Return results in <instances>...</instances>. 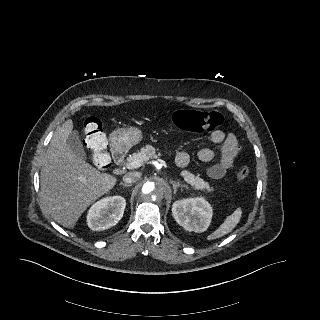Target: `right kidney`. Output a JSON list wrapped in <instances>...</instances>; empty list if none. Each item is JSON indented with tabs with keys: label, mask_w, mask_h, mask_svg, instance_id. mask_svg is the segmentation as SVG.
<instances>
[{
	"label": "right kidney",
	"mask_w": 320,
	"mask_h": 320,
	"mask_svg": "<svg viewBox=\"0 0 320 320\" xmlns=\"http://www.w3.org/2000/svg\"><path fill=\"white\" fill-rule=\"evenodd\" d=\"M126 201L121 196L105 197L88 211L87 224L93 231H102L116 225L123 217Z\"/></svg>",
	"instance_id": "right-kidney-1"
}]
</instances>
